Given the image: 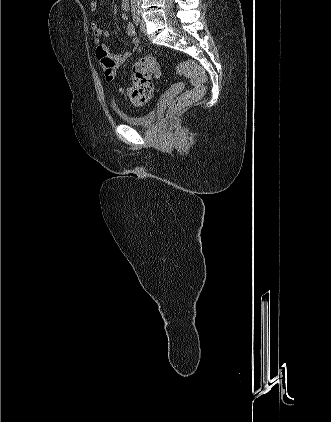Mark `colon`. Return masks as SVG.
<instances>
[{
	"label": "colon",
	"instance_id": "1",
	"mask_svg": "<svg viewBox=\"0 0 331 422\" xmlns=\"http://www.w3.org/2000/svg\"><path fill=\"white\" fill-rule=\"evenodd\" d=\"M158 71V63L152 56L142 57L133 65V86L127 92V95L134 105L141 106L150 99L154 89L153 76ZM177 71L179 74L188 77L193 87L173 101L170 107L171 114H175L189 104L198 101L205 93L206 75L199 64L191 60L183 61L178 64Z\"/></svg>",
	"mask_w": 331,
	"mask_h": 422
}]
</instances>
